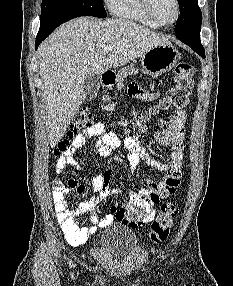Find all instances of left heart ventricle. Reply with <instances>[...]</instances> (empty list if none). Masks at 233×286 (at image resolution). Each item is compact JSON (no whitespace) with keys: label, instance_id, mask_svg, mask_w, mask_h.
Segmentation results:
<instances>
[{"label":"left heart ventricle","instance_id":"left-heart-ventricle-1","mask_svg":"<svg viewBox=\"0 0 233 286\" xmlns=\"http://www.w3.org/2000/svg\"><path fill=\"white\" fill-rule=\"evenodd\" d=\"M152 12L160 23H169L176 14L174 0H152Z\"/></svg>","mask_w":233,"mask_h":286}]
</instances>
